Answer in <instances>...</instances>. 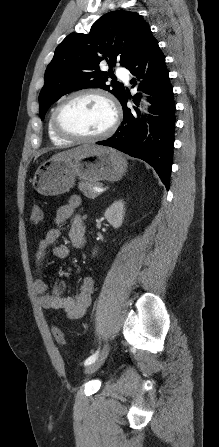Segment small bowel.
<instances>
[{
  "label": "small bowel",
  "instance_id": "small-bowel-1",
  "mask_svg": "<svg viewBox=\"0 0 219 447\" xmlns=\"http://www.w3.org/2000/svg\"><path fill=\"white\" fill-rule=\"evenodd\" d=\"M82 204V199L78 195H72L68 202L59 207L56 211L54 221L57 225L66 223ZM72 233L77 239V247L83 243V226L80 219H76L72 225ZM61 230L53 228L49 230L38 242L36 251L37 273L42 272L43 261L48 248H52L53 255L58 259H67L69 256V247L65 244H56ZM34 290L38 296L40 305L47 309L62 311L70 319L82 318L91 303V295L94 289V278L85 276L80 282L78 291L72 297L62 295V283L58 282L52 292H48L47 284L36 279L33 282Z\"/></svg>",
  "mask_w": 219,
  "mask_h": 447
}]
</instances>
